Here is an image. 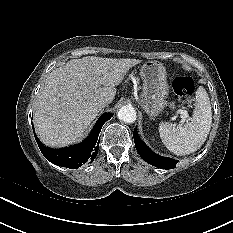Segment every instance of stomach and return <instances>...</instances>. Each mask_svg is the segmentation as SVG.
<instances>
[{
  "label": "stomach",
  "instance_id": "obj_1",
  "mask_svg": "<svg viewBox=\"0 0 233 233\" xmlns=\"http://www.w3.org/2000/svg\"><path fill=\"white\" fill-rule=\"evenodd\" d=\"M166 75L165 67L157 61L145 62L140 69L143 87L138 102L151 117L158 116L167 106L169 86Z\"/></svg>",
  "mask_w": 233,
  "mask_h": 233
}]
</instances>
